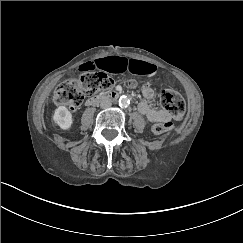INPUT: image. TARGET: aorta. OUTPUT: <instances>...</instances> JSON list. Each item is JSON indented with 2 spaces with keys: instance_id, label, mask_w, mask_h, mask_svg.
I'll list each match as a JSON object with an SVG mask.
<instances>
[{
  "instance_id": "762f6f07",
  "label": "aorta",
  "mask_w": 243,
  "mask_h": 243,
  "mask_svg": "<svg viewBox=\"0 0 243 243\" xmlns=\"http://www.w3.org/2000/svg\"><path fill=\"white\" fill-rule=\"evenodd\" d=\"M129 104V99L126 96H121L119 99V105L126 107Z\"/></svg>"
}]
</instances>
